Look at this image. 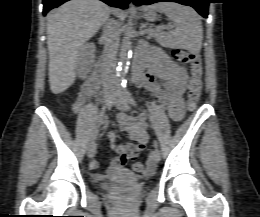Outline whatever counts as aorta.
<instances>
[{"mask_svg":"<svg viewBox=\"0 0 260 217\" xmlns=\"http://www.w3.org/2000/svg\"><path fill=\"white\" fill-rule=\"evenodd\" d=\"M132 56L131 50V32L127 31L123 37L120 53V61L118 70H126L129 65V60Z\"/></svg>","mask_w":260,"mask_h":217,"instance_id":"aorta-1","label":"aorta"}]
</instances>
